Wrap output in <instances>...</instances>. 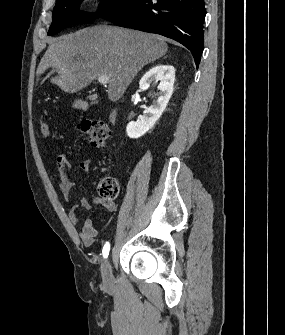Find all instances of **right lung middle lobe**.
<instances>
[{
	"label": "right lung middle lobe",
	"instance_id": "1",
	"mask_svg": "<svg viewBox=\"0 0 285 335\" xmlns=\"http://www.w3.org/2000/svg\"><path fill=\"white\" fill-rule=\"evenodd\" d=\"M119 1L120 0H105V3L100 5V8L96 13L87 15L78 10L82 0H59L54 7L52 24L48 31V35L57 34L70 25L84 23L99 18Z\"/></svg>",
	"mask_w": 285,
	"mask_h": 335
}]
</instances>
